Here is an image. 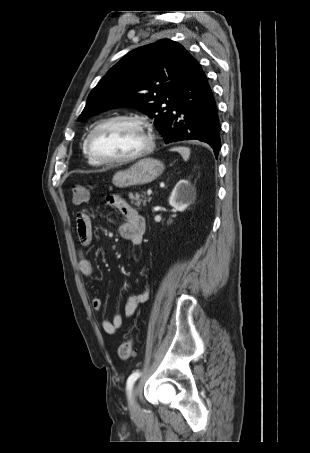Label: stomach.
<instances>
[{"instance_id":"0dacf381","label":"stomach","mask_w":310,"mask_h":453,"mask_svg":"<svg viewBox=\"0 0 310 453\" xmlns=\"http://www.w3.org/2000/svg\"><path fill=\"white\" fill-rule=\"evenodd\" d=\"M164 168L162 161L154 158H144L128 169L116 172L112 183L118 188L148 184L159 177L163 173Z\"/></svg>"}]
</instances>
